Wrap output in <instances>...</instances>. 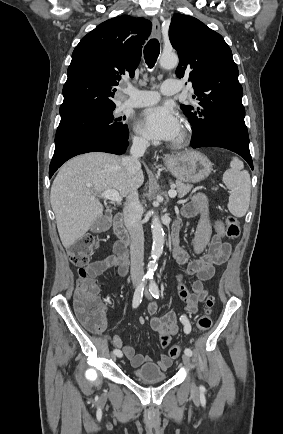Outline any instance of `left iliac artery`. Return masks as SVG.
<instances>
[{"instance_id":"left-iliac-artery-1","label":"left iliac artery","mask_w":283,"mask_h":434,"mask_svg":"<svg viewBox=\"0 0 283 434\" xmlns=\"http://www.w3.org/2000/svg\"><path fill=\"white\" fill-rule=\"evenodd\" d=\"M149 291L154 298H156V299L159 298V295H160L159 289H158L156 282L153 280V277H151V281H150V285H149ZM180 320H181L182 324L184 325L185 333H189L191 330V326H190V323H189V320L187 319V317L182 316L180 318ZM184 353L188 356L192 355V351L190 348H186L184 350ZM200 390L204 391L205 388L203 386H200Z\"/></svg>"}]
</instances>
